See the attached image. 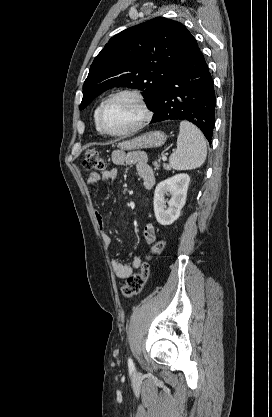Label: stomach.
<instances>
[{
  "label": "stomach",
  "instance_id": "stomach-1",
  "mask_svg": "<svg viewBox=\"0 0 272 417\" xmlns=\"http://www.w3.org/2000/svg\"><path fill=\"white\" fill-rule=\"evenodd\" d=\"M167 139V136L162 131H150L142 134L132 140L125 141L119 146L126 150L156 148L162 146Z\"/></svg>",
  "mask_w": 272,
  "mask_h": 417
}]
</instances>
